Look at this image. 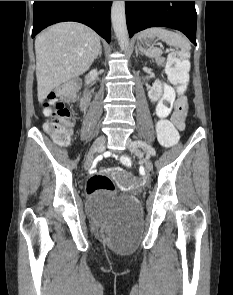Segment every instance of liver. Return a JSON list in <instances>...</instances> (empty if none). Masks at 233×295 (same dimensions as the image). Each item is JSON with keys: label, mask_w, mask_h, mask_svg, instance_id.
I'll return each mask as SVG.
<instances>
[{"label": "liver", "mask_w": 233, "mask_h": 295, "mask_svg": "<svg viewBox=\"0 0 233 295\" xmlns=\"http://www.w3.org/2000/svg\"><path fill=\"white\" fill-rule=\"evenodd\" d=\"M99 35L84 24L61 22L35 40L38 101L56 87L85 73L98 56Z\"/></svg>", "instance_id": "liver-1"}]
</instances>
